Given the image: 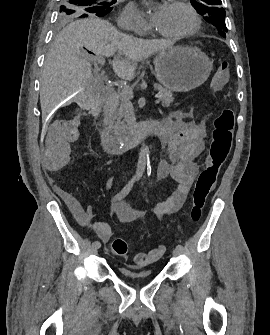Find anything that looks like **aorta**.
<instances>
[{
    "label": "aorta",
    "mask_w": 270,
    "mask_h": 335,
    "mask_svg": "<svg viewBox=\"0 0 270 335\" xmlns=\"http://www.w3.org/2000/svg\"><path fill=\"white\" fill-rule=\"evenodd\" d=\"M141 146L142 148H140L139 158L136 166L135 175H133V179H141L147 164L149 148L148 146H146V144H141Z\"/></svg>",
    "instance_id": "762f6f07"
}]
</instances>
